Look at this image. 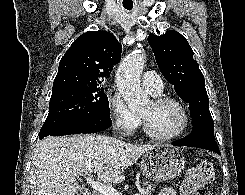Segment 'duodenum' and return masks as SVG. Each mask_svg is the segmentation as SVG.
Wrapping results in <instances>:
<instances>
[{
    "label": "duodenum",
    "mask_w": 245,
    "mask_h": 195,
    "mask_svg": "<svg viewBox=\"0 0 245 195\" xmlns=\"http://www.w3.org/2000/svg\"><path fill=\"white\" fill-rule=\"evenodd\" d=\"M88 195H96V194H94V193H88Z\"/></svg>",
    "instance_id": "duodenum-1"
}]
</instances>
